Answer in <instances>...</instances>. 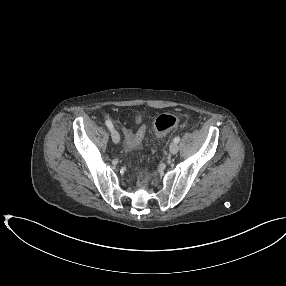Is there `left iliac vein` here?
<instances>
[{"instance_id": "1", "label": "left iliac vein", "mask_w": 286, "mask_h": 286, "mask_svg": "<svg viewBox=\"0 0 286 286\" xmlns=\"http://www.w3.org/2000/svg\"><path fill=\"white\" fill-rule=\"evenodd\" d=\"M169 150H170L171 154H176L178 152V150H179V147H178L177 143L172 142L170 144Z\"/></svg>"}]
</instances>
